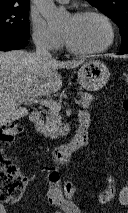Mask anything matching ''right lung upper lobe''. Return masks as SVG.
Returning a JSON list of instances; mask_svg holds the SVG:
<instances>
[{"mask_svg":"<svg viewBox=\"0 0 128 213\" xmlns=\"http://www.w3.org/2000/svg\"><path fill=\"white\" fill-rule=\"evenodd\" d=\"M30 0H0V6L29 5Z\"/></svg>","mask_w":128,"mask_h":213,"instance_id":"cb5924a9","label":"right lung upper lobe"}]
</instances>
